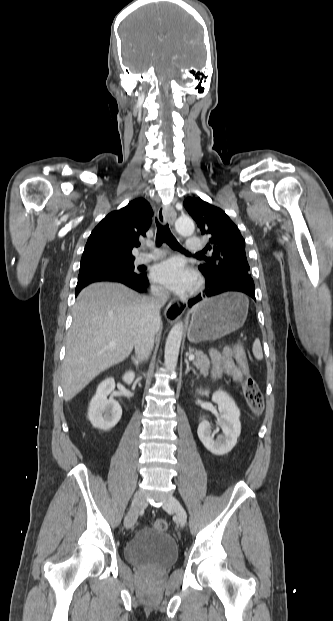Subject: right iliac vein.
Here are the masks:
<instances>
[{"label":"right iliac vein","mask_w":333,"mask_h":621,"mask_svg":"<svg viewBox=\"0 0 333 621\" xmlns=\"http://www.w3.org/2000/svg\"><path fill=\"white\" fill-rule=\"evenodd\" d=\"M143 504L144 494L142 491H137L132 499L130 510L125 517L124 524L127 529L131 528L135 524L138 517V512Z\"/></svg>","instance_id":"1"}]
</instances>
